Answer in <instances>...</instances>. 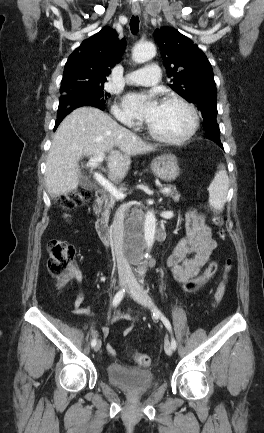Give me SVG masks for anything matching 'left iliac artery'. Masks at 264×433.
Segmentation results:
<instances>
[{
  "instance_id": "44dca946",
  "label": "left iliac artery",
  "mask_w": 264,
  "mask_h": 433,
  "mask_svg": "<svg viewBox=\"0 0 264 433\" xmlns=\"http://www.w3.org/2000/svg\"><path fill=\"white\" fill-rule=\"evenodd\" d=\"M153 315L160 317L166 328L172 333V327L169 320L158 309H154ZM171 346L173 350H175L177 347L174 337H172Z\"/></svg>"
}]
</instances>
